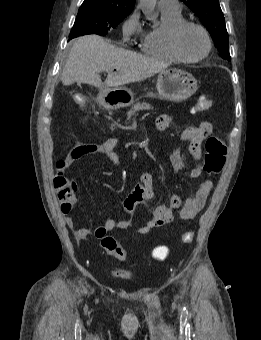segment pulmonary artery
I'll return each mask as SVG.
<instances>
[{"mask_svg": "<svg viewBox=\"0 0 261 340\" xmlns=\"http://www.w3.org/2000/svg\"><path fill=\"white\" fill-rule=\"evenodd\" d=\"M158 6L161 10L180 12L182 7L178 0H159Z\"/></svg>", "mask_w": 261, "mask_h": 340, "instance_id": "obj_1", "label": "pulmonary artery"}]
</instances>
